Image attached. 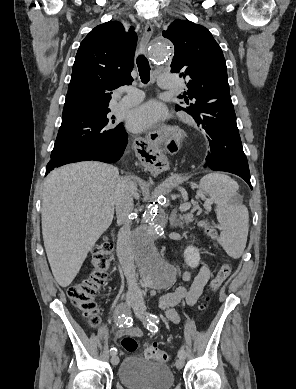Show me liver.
I'll return each instance as SVG.
<instances>
[{"label": "liver", "instance_id": "6515ba94", "mask_svg": "<svg viewBox=\"0 0 296 389\" xmlns=\"http://www.w3.org/2000/svg\"><path fill=\"white\" fill-rule=\"evenodd\" d=\"M118 178L117 167L86 161L55 169L45 179L42 234L61 287L72 283L88 252L111 225Z\"/></svg>", "mask_w": 296, "mask_h": 389}]
</instances>
